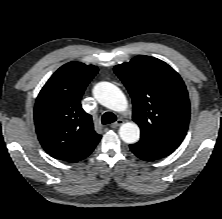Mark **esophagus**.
<instances>
[{
    "label": "esophagus",
    "instance_id": "34e87169",
    "mask_svg": "<svg viewBox=\"0 0 222 219\" xmlns=\"http://www.w3.org/2000/svg\"><path fill=\"white\" fill-rule=\"evenodd\" d=\"M123 123H124V121L122 119H118L116 122L111 124V128H116V127L122 125Z\"/></svg>",
    "mask_w": 222,
    "mask_h": 219
}]
</instances>
